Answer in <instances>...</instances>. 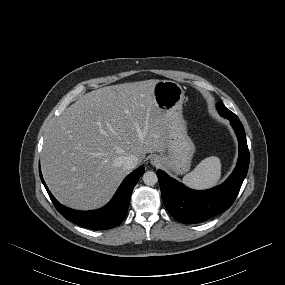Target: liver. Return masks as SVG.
Masks as SVG:
<instances>
[{"label":"liver","instance_id":"obj_1","mask_svg":"<svg viewBox=\"0 0 285 285\" xmlns=\"http://www.w3.org/2000/svg\"><path fill=\"white\" fill-rule=\"evenodd\" d=\"M151 79L106 86L82 95L50 126L42 172L57 200L74 209L105 205L129 171L123 158L164 152L167 129Z\"/></svg>","mask_w":285,"mask_h":285}]
</instances>
